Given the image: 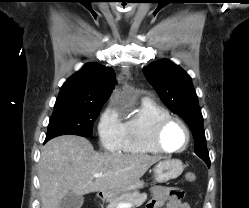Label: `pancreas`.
<instances>
[{
    "label": "pancreas",
    "mask_w": 249,
    "mask_h": 208,
    "mask_svg": "<svg viewBox=\"0 0 249 208\" xmlns=\"http://www.w3.org/2000/svg\"><path fill=\"white\" fill-rule=\"evenodd\" d=\"M147 199L146 193H139L138 191L126 192L112 200L106 208H118L119 204H130L131 207L141 206Z\"/></svg>",
    "instance_id": "obj_1"
}]
</instances>
